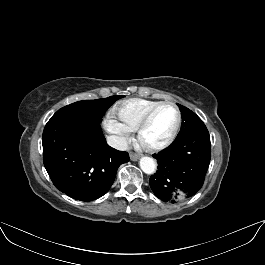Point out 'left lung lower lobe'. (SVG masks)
<instances>
[{
    "mask_svg": "<svg viewBox=\"0 0 265 265\" xmlns=\"http://www.w3.org/2000/svg\"><path fill=\"white\" fill-rule=\"evenodd\" d=\"M153 157L157 159L158 170L149 184L159 199L175 203L195 195L204 183L211 159L206 126L177 135L166 150Z\"/></svg>",
    "mask_w": 265,
    "mask_h": 265,
    "instance_id": "1",
    "label": "left lung lower lobe"
}]
</instances>
